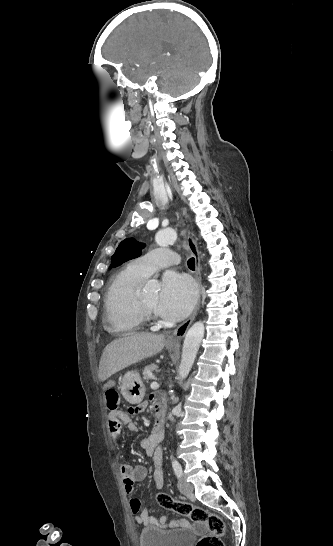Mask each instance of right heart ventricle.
<instances>
[{
    "instance_id": "e07e8e85",
    "label": "right heart ventricle",
    "mask_w": 333,
    "mask_h": 546,
    "mask_svg": "<svg viewBox=\"0 0 333 546\" xmlns=\"http://www.w3.org/2000/svg\"><path fill=\"white\" fill-rule=\"evenodd\" d=\"M146 278L131 265L110 281L105 296V323L114 333H133L143 328L144 319L136 306L137 289Z\"/></svg>"
}]
</instances>
